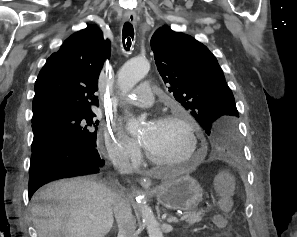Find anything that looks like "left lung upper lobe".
Returning a JSON list of instances; mask_svg holds the SVG:
<instances>
[{"label":"left lung upper lobe","instance_id":"obj_1","mask_svg":"<svg viewBox=\"0 0 297 237\" xmlns=\"http://www.w3.org/2000/svg\"><path fill=\"white\" fill-rule=\"evenodd\" d=\"M150 45L169 92L210 137V151L219 157H239V114L216 57L199 41L166 25L155 31Z\"/></svg>","mask_w":297,"mask_h":237}]
</instances>
